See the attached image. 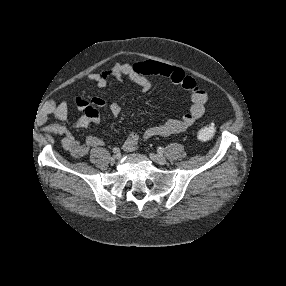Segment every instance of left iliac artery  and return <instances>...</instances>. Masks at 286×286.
<instances>
[{
	"instance_id": "left-iliac-artery-1",
	"label": "left iliac artery",
	"mask_w": 286,
	"mask_h": 286,
	"mask_svg": "<svg viewBox=\"0 0 286 286\" xmlns=\"http://www.w3.org/2000/svg\"><path fill=\"white\" fill-rule=\"evenodd\" d=\"M158 152H159V153H163V152H164V148H163V147H159V148H158Z\"/></svg>"
}]
</instances>
